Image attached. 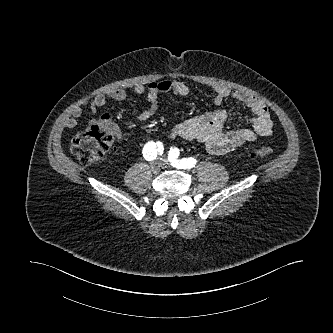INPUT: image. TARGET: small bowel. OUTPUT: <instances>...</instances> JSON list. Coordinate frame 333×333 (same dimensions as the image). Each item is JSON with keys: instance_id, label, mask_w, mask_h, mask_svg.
<instances>
[{"instance_id": "1", "label": "small bowel", "mask_w": 333, "mask_h": 333, "mask_svg": "<svg viewBox=\"0 0 333 333\" xmlns=\"http://www.w3.org/2000/svg\"><path fill=\"white\" fill-rule=\"evenodd\" d=\"M214 109L202 115L189 118L178 123L170 136L171 139L180 137L190 141L202 143L206 150L213 155H224L243 144L253 142L258 137H268L273 132V122L265 104L256 96L241 91H231L225 86H214ZM136 95H146L148 106L139 114L140 121L149 120L157 111L158 97L160 93H173L177 96H187L190 92L188 85L179 79H162L151 81L147 86L138 84L133 88ZM228 97H233L243 103L252 112L250 119L251 128L224 130L226 112L220 108ZM127 98L125 90L115 88L107 93L96 95L93 99L84 102L91 111L103 107L108 99L124 101ZM82 115V107L73 110L71 117L65 121L67 128L77 126L78 119ZM92 123L99 124L110 130L114 136L123 141L129 134L122 133L110 115L104 114Z\"/></svg>"}]
</instances>
